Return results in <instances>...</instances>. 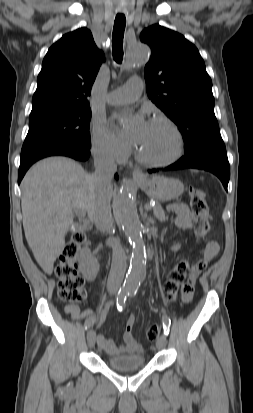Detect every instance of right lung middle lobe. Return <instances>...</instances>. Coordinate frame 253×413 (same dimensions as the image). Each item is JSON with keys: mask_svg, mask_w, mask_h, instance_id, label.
Returning a JSON list of instances; mask_svg holds the SVG:
<instances>
[{"mask_svg": "<svg viewBox=\"0 0 253 413\" xmlns=\"http://www.w3.org/2000/svg\"><path fill=\"white\" fill-rule=\"evenodd\" d=\"M89 106L52 107L30 113L21 155L58 146L90 148Z\"/></svg>", "mask_w": 253, "mask_h": 413, "instance_id": "dd1d6c3e", "label": "right lung middle lobe"}]
</instances>
